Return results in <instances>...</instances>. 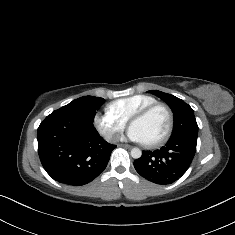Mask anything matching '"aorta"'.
I'll return each instance as SVG.
<instances>
[{
    "mask_svg": "<svg viewBox=\"0 0 235 235\" xmlns=\"http://www.w3.org/2000/svg\"><path fill=\"white\" fill-rule=\"evenodd\" d=\"M131 156L134 159H138L142 156V151L139 148H132L131 149Z\"/></svg>",
    "mask_w": 235,
    "mask_h": 235,
    "instance_id": "obj_1",
    "label": "aorta"
}]
</instances>
